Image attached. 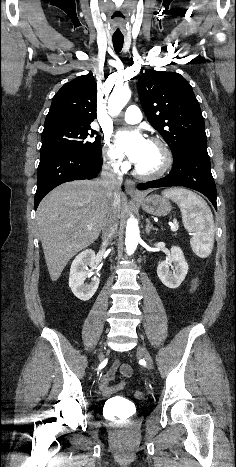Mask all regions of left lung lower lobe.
Masks as SVG:
<instances>
[{
	"mask_svg": "<svg viewBox=\"0 0 236 467\" xmlns=\"http://www.w3.org/2000/svg\"><path fill=\"white\" fill-rule=\"evenodd\" d=\"M173 160V167L169 175L158 180L140 183L138 189L170 186L188 187L204 194L217 210L216 186L211 174L207 144H191Z\"/></svg>",
	"mask_w": 236,
	"mask_h": 467,
	"instance_id": "1",
	"label": "left lung lower lobe"
}]
</instances>
